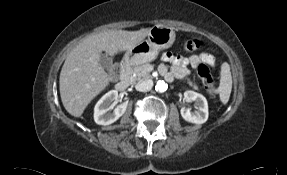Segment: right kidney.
I'll list each match as a JSON object with an SVG mask.
<instances>
[{
	"instance_id": "right-kidney-1",
	"label": "right kidney",
	"mask_w": 287,
	"mask_h": 175,
	"mask_svg": "<svg viewBox=\"0 0 287 175\" xmlns=\"http://www.w3.org/2000/svg\"><path fill=\"white\" fill-rule=\"evenodd\" d=\"M118 98V91L111 90L106 93L95 105L94 121L99 125H109L118 120L126 111L127 102L117 106L112 112V101Z\"/></svg>"
}]
</instances>
